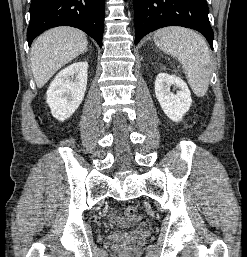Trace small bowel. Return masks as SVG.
I'll list each match as a JSON object with an SVG mask.
<instances>
[{
    "mask_svg": "<svg viewBox=\"0 0 247 257\" xmlns=\"http://www.w3.org/2000/svg\"><path fill=\"white\" fill-rule=\"evenodd\" d=\"M111 217H112L113 221H115L116 223H122L121 218L117 215L116 212H113Z\"/></svg>",
    "mask_w": 247,
    "mask_h": 257,
    "instance_id": "1",
    "label": "small bowel"
}]
</instances>
